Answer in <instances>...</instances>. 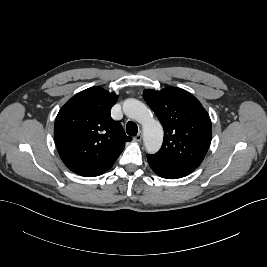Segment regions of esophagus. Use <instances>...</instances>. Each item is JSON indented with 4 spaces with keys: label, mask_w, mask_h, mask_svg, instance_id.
Returning a JSON list of instances; mask_svg holds the SVG:
<instances>
[{
    "label": "esophagus",
    "mask_w": 267,
    "mask_h": 267,
    "mask_svg": "<svg viewBox=\"0 0 267 267\" xmlns=\"http://www.w3.org/2000/svg\"><path fill=\"white\" fill-rule=\"evenodd\" d=\"M134 140L136 142H140L142 140V134L141 132H139L135 137H134Z\"/></svg>",
    "instance_id": "esophagus-1"
}]
</instances>
